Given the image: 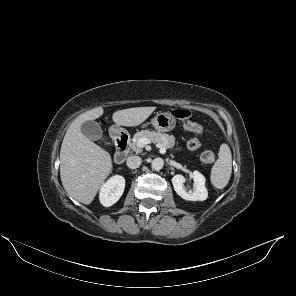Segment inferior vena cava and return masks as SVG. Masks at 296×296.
<instances>
[{
    "label": "inferior vena cava",
    "mask_w": 296,
    "mask_h": 296,
    "mask_svg": "<svg viewBox=\"0 0 296 296\" xmlns=\"http://www.w3.org/2000/svg\"><path fill=\"white\" fill-rule=\"evenodd\" d=\"M142 159L139 156H130L127 158L126 165L130 169L138 168L141 165Z\"/></svg>",
    "instance_id": "inferior-vena-cava-1"
}]
</instances>
